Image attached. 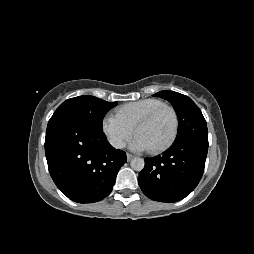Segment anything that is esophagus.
<instances>
[{
    "label": "esophagus",
    "instance_id": "esophagus-1",
    "mask_svg": "<svg viewBox=\"0 0 254 254\" xmlns=\"http://www.w3.org/2000/svg\"><path fill=\"white\" fill-rule=\"evenodd\" d=\"M126 157H127V161H130L131 159L134 158V156L132 154H129V153L126 154Z\"/></svg>",
    "mask_w": 254,
    "mask_h": 254
}]
</instances>
